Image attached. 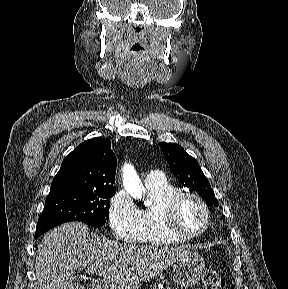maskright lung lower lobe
Returning <instances> with one entry per match:
<instances>
[{"mask_svg":"<svg viewBox=\"0 0 288 289\" xmlns=\"http://www.w3.org/2000/svg\"><path fill=\"white\" fill-rule=\"evenodd\" d=\"M38 236H40V235H39V234H35V239H36Z\"/></svg>","mask_w":288,"mask_h":289,"instance_id":"1","label":"right lung lower lobe"}]
</instances>
